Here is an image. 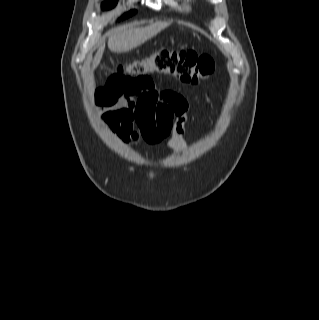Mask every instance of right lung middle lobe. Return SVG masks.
Listing matches in <instances>:
<instances>
[{
	"instance_id": "obj_1",
	"label": "right lung middle lobe",
	"mask_w": 319,
	"mask_h": 320,
	"mask_svg": "<svg viewBox=\"0 0 319 320\" xmlns=\"http://www.w3.org/2000/svg\"><path fill=\"white\" fill-rule=\"evenodd\" d=\"M116 3H117V0H110V1L103 2L102 8L103 9H111L116 5ZM134 13H135V11H130L124 17H129V16L133 15Z\"/></svg>"
}]
</instances>
